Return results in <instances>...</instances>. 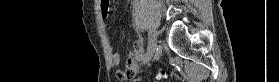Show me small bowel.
Returning <instances> with one entry per match:
<instances>
[{
    "label": "small bowel",
    "instance_id": "small-bowel-1",
    "mask_svg": "<svg viewBox=\"0 0 279 82\" xmlns=\"http://www.w3.org/2000/svg\"><path fill=\"white\" fill-rule=\"evenodd\" d=\"M99 9L102 13L103 19H107L110 10L109 0H100L98 3ZM108 50H112V46L108 44ZM143 45L140 42H136L132 45L129 56L126 61V68L117 71V77L120 80H127L129 77L137 73L138 62L143 54ZM111 61L114 66H117L121 62V55L118 52L111 53Z\"/></svg>",
    "mask_w": 279,
    "mask_h": 82
}]
</instances>
